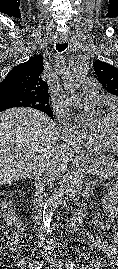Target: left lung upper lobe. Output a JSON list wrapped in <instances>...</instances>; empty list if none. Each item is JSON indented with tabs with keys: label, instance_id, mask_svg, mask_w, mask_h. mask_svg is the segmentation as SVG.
Masks as SVG:
<instances>
[{
	"label": "left lung upper lobe",
	"instance_id": "left-lung-upper-lobe-1",
	"mask_svg": "<svg viewBox=\"0 0 118 269\" xmlns=\"http://www.w3.org/2000/svg\"><path fill=\"white\" fill-rule=\"evenodd\" d=\"M94 71L105 90L118 96V69L108 63L96 60Z\"/></svg>",
	"mask_w": 118,
	"mask_h": 269
}]
</instances>
